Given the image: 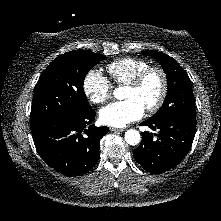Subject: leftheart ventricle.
Segmentation results:
<instances>
[{
    "label": "left heart ventricle",
    "instance_id": "left-heart-ventricle-1",
    "mask_svg": "<svg viewBox=\"0 0 221 221\" xmlns=\"http://www.w3.org/2000/svg\"><path fill=\"white\" fill-rule=\"evenodd\" d=\"M161 91V79L156 73L149 75L139 88H126L125 98L137 99L144 108L154 104Z\"/></svg>",
    "mask_w": 221,
    "mask_h": 221
}]
</instances>
